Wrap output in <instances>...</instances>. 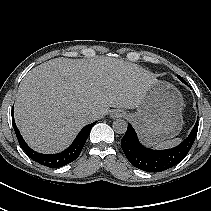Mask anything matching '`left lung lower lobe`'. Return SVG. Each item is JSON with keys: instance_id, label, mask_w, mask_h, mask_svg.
Here are the masks:
<instances>
[{"instance_id": "obj_1", "label": "left lung lower lobe", "mask_w": 211, "mask_h": 211, "mask_svg": "<svg viewBox=\"0 0 211 211\" xmlns=\"http://www.w3.org/2000/svg\"><path fill=\"white\" fill-rule=\"evenodd\" d=\"M179 78V76H177ZM187 84L183 78H179ZM198 131V120L190 135L178 146L167 150H152L140 144L131 124L121 140L122 150L129 162L147 172H161L181 162L191 149Z\"/></svg>"}]
</instances>
